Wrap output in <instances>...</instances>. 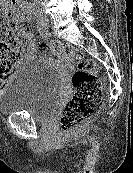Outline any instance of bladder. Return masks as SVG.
<instances>
[{"instance_id": "obj_1", "label": "bladder", "mask_w": 133, "mask_h": 173, "mask_svg": "<svg viewBox=\"0 0 133 173\" xmlns=\"http://www.w3.org/2000/svg\"><path fill=\"white\" fill-rule=\"evenodd\" d=\"M64 85L51 64L30 59L18 65L0 93V113L26 112L38 122H48L60 103Z\"/></svg>"}]
</instances>
